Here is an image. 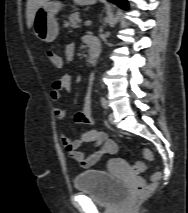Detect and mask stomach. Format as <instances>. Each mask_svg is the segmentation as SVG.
Wrapping results in <instances>:
<instances>
[{"label":"stomach","mask_w":188,"mask_h":213,"mask_svg":"<svg viewBox=\"0 0 188 213\" xmlns=\"http://www.w3.org/2000/svg\"><path fill=\"white\" fill-rule=\"evenodd\" d=\"M76 4H93L96 0H74ZM63 4L58 1L46 0L36 9L33 19V30L36 37L42 41L52 42L59 33V25L56 14L61 10Z\"/></svg>","instance_id":"0dacf381"}]
</instances>
